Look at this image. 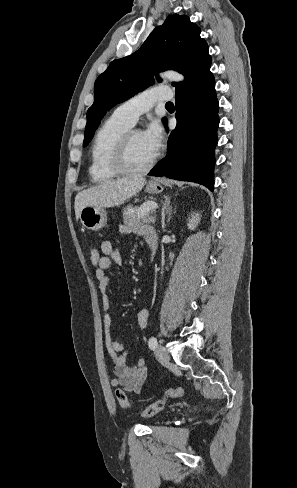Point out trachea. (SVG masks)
Here are the masks:
<instances>
[{"instance_id": "trachea-1", "label": "trachea", "mask_w": 297, "mask_h": 488, "mask_svg": "<svg viewBox=\"0 0 297 488\" xmlns=\"http://www.w3.org/2000/svg\"><path fill=\"white\" fill-rule=\"evenodd\" d=\"M165 106H166V107H174V105H173V103H172V102H167Z\"/></svg>"}]
</instances>
